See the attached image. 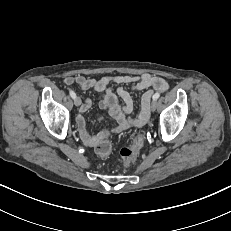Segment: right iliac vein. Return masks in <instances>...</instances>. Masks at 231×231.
Segmentation results:
<instances>
[{
    "mask_svg": "<svg viewBox=\"0 0 231 231\" xmlns=\"http://www.w3.org/2000/svg\"><path fill=\"white\" fill-rule=\"evenodd\" d=\"M74 104H75L76 106H80V105H81V99H80V97H76V98L74 99Z\"/></svg>",
    "mask_w": 231,
    "mask_h": 231,
    "instance_id": "obj_1",
    "label": "right iliac vein"
}]
</instances>
